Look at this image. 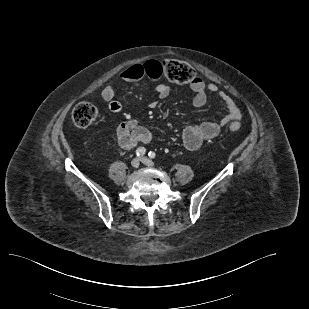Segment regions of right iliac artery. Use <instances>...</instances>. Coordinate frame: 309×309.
<instances>
[{
	"instance_id": "1",
	"label": "right iliac artery",
	"mask_w": 309,
	"mask_h": 309,
	"mask_svg": "<svg viewBox=\"0 0 309 309\" xmlns=\"http://www.w3.org/2000/svg\"><path fill=\"white\" fill-rule=\"evenodd\" d=\"M145 153H146V149H145L144 147H139V148L136 150V155H137V156H143Z\"/></svg>"
}]
</instances>
